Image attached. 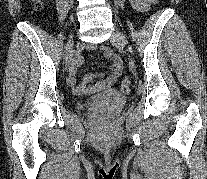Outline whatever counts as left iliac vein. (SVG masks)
I'll return each mask as SVG.
<instances>
[{
    "instance_id": "left-iliac-vein-1",
    "label": "left iliac vein",
    "mask_w": 207,
    "mask_h": 179,
    "mask_svg": "<svg viewBox=\"0 0 207 179\" xmlns=\"http://www.w3.org/2000/svg\"><path fill=\"white\" fill-rule=\"evenodd\" d=\"M110 40L113 44H118L123 46V48H126L127 46V49H131V46H128L129 42L126 39V36L118 30L113 31Z\"/></svg>"
}]
</instances>
